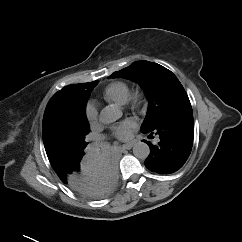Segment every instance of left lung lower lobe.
I'll use <instances>...</instances> for the list:
<instances>
[{
    "label": "left lung lower lobe",
    "instance_id": "1",
    "mask_svg": "<svg viewBox=\"0 0 242 242\" xmlns=\"http://www.w3.org/2000/svg\"><path fill=\"white\" fill-rule=\"evenodd\" d=\"M143 133L159 135L160 142L153 145L147 142L150 154L145 166L158 174H171L178 171L188 159L194 138L193 112L190 105L173 111L162 119L153 129Z\"/></svg>",
    "mask_w": 242,
    "mask_h": 242
}]
</instances>
